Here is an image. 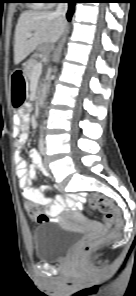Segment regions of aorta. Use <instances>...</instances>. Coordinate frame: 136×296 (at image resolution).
Segmentation results:
<instances>
[{
	"label": "aorta",
	"mask_w": 136,
	"mask_h": 296,
	"mask_svg": "<svg viewBox=\"0 0 136 296\" xmlns=\"http://www.w3.org/2000/svg\"><path fill=\"white\" fill-rule=\"evenodd\" d=\"M43 129H44V127L43 126H41V138H42V132H43Z\"/></svg>",
	"instance_id": "obj_1"
}]
</instances>
